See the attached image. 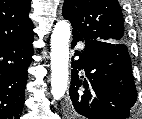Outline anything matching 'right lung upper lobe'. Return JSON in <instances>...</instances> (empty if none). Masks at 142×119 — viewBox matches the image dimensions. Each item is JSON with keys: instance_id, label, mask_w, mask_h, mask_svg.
Listing matches in <instances>:
<instances>
[{"instance_id": "cb5924a9", "label": "right lung upper lobe", "mask_w": 142, "mask_h": 119, "mask_svg": "<svg viewBox=\"0 0 142 119\" xmlns=\"http://www.w3.org/2000/svg\"><path fill=\"white\" fill-rule=\"evenodd\" d=\"M31 0H0V46L25 39L33 34L28 17Z\"/></svg>"}]
</instances>
